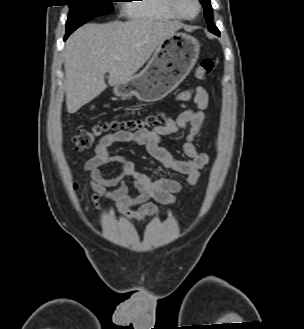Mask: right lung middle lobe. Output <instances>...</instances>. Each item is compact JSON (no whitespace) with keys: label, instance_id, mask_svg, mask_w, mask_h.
Instances as JSON below:
<instances>
[{"label":"right lung middle lobe","instance_id":"1","mask_svg":"<svg viewBox=\"0 0 304 329\" xmlns=\"http://www.w3.org/2000/svg\"><path fill=\"white\" fill-rule=\"evenodd\" d=\"M69 15L66 22V38L78 27L99 15L113 11L114 0H67Z\"/></svg>","mask_w":304,"mask_h":329}]
</instances>
